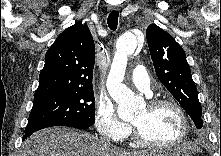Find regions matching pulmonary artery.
Wrapping results in <instances>:
<instances>
[{
  "label": "pulmonary artery",
  "mask_w": 221,
  "mask_h": 156,
  "mask_svg": "<svg viewBox=\"0 0 221 156\" xmlns=\"http://www.w3.org/2000/svg\"><path fill=\"white\" fill-rule=\"evenodd\" d=\"M131 80L133 85L140 91L150 95V79L144 66L138 65L132 72Z\"/></svg>",
  "instance_id": "pulmonary-artery-1"
}]
</instances>
